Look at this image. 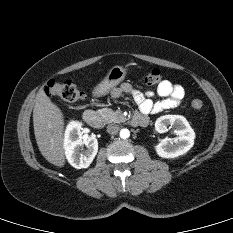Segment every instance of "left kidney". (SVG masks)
Returning a JSON list of instances; mask_svg holds the SVG:
<instances>
[{"mask_svg": "<svg viewBox=\"0 0 233 233\" xmlns=\"http://www.w3.org/2000/svg\"><path fill=\"white\" fill-rule=\"evenodd\" d=\"M173 128L176 139H164L155 146L156 153L162 158H175L187 153L194 145L195 132L189 122L181 115H164L155 122V129L165 133Z\"/></svg>", "mask_w": 233, "mask_h": 233, "instance_id": "5707ae66", "label": "left kidney"}]
</instances>
